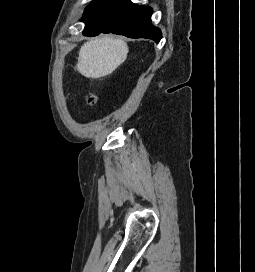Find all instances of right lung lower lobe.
Segmentation results:
<instances>
[{"label":"right lung lower lobe","mask_w":255,"mask_h":272,"mask_svg":"<svg viewBox=\"0 0 255 272\" xmlns=\"http://www.w3.org/2000/svg\"><path fill=\"white\" fill-rule=\"evenodd\" d=\"M152 9L130 0H94L85 9L83 35L114 33L130 38H147L159 42L162 34L151 23Z\"/></svg>","instance_id":"obj_1"}]
</instances>
